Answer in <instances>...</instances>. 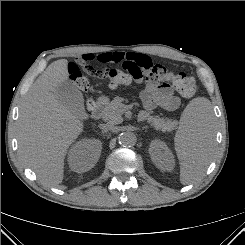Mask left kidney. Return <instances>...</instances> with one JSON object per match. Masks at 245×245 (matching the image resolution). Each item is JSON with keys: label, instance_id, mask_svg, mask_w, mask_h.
<instances>
[{"label": "left kidney", "instance_id": "obj_1", "mask_svg": "<svg viewBox=\"0 0 245 245\" xmlns=\"http://www.w3.org/2000/svg\"><path fill=\"white\" fill-rule=\"evenodd\" d=\"M149 153L154 164L165 170H172L174 157L167 145L160 140H154L150 144Z\"/></svg>", "mask_w": 245, "mask_h": 245}]
</instances>
